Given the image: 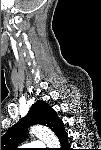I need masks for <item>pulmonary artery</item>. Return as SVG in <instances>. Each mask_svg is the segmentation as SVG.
Here are the masks:
<instances>
[{
	"label": "pulmonary artery",
	"mask_w": 101,
	"mask_h": 150,
	"mask_svg": "<svg viewBox=\"0 0 101 150\" xmlns=\"http://www.w3.org/2000/svg\"><path fill=\"white\" fill-rule=\"evenodd\" d=\"M29 145L32 146V147H41V146H43V144L41 142H33Z\"/></svg>",
	"instance_id": "1"
}]
</instances>
